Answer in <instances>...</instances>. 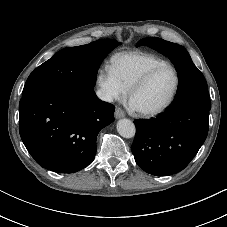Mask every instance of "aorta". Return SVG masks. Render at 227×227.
Listing matches in <instances>:
<instances>
[{
  "mask_svg": "<svg viewBox=\"0 0 227 227\" xmlns=\"http://www.w3.org/2000/svg\"><path fill=\"white\" fill-rule=\"evenodd\" d=\"M117 131L124 138H132L135 136L136 128L131 120L124 118L117 122Z\"/></svg>",
  "mask_w": 227,
  "mask_h": 227,
  "instance_id": "obj_1",
  "label": "aorta"
}]
</instances>
